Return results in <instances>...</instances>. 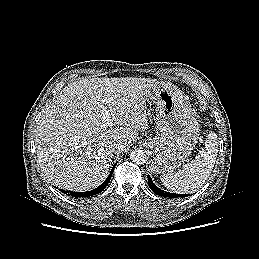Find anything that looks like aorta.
<instances>
[{
    "label": "aorta",
    "mask_w": 259,
    "mask_h": 259,
    "mask_svg": "<svg viewBox=\"0 0 259 259\" xmlns=\"http://www.w3.org/2000/svg\"><path fill=\"white\" fill-rule=\"evenodd\" d=\"M130 159L132 160V162H134L135 164H144L146 161V154L144 153V151L140 150V149H135L131 152L130 154Z\"/></svg>",
    "instance_id": "1"
}]
</instances>
